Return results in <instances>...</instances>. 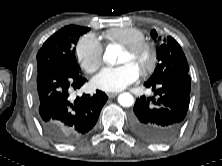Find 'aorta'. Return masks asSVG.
I'll return each instance as SVG.
<instances>
[{"mask_svg":"<svg viewBox=\"0 0 222 166\" xmlns=\"http://www.w3.org/2000/svg\"><path fill=\"white\" fill-rule=\"evenodd\" d=\"M120 53L121 50L117 46L110 45L106 48L103 59L105 62L114 65L117 63V58ZM118 102L123 107H130L134 103V98L130 93L124 92L118 96Z\"/></svg>","mask_w":222,"mask_h":166,"instance_id":"762f6f07","label":"aorta"}]
</instances>
